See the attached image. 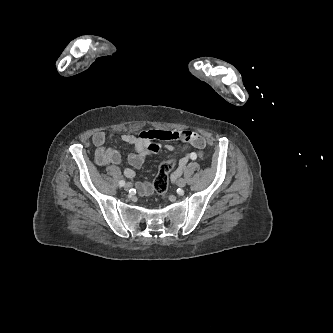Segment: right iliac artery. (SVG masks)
Segmentation results:
<instances>
[{
	"label": "right iliac artery",
	"mask_w": 333,
	"mask_h": 333,
	"mask_svg": "<svg viewBox=\"0 0 333 333\" xmlns=\"http://www.w3.org/2000/svg\"><path fill=\"white\" fill-rule=\"evenodd\" d=\"M124 185H125V181L124 180L119 181V186L120 187H123Z\"/></svg>",
	"instance_id": "right-iliac-artery-1"
}]
</instances>
